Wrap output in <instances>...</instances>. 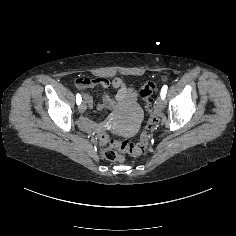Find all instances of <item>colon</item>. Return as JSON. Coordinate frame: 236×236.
Segmentation results:
<instances>
[{"label": "colon", "instance_id": "colon-1", "mask_svg": "<svg viewBox=\"0 0 236 236\" xmlns=\"http://www.w3.org/2000/svg\"><path fill=\"white\" fill-rule=\"evenodd\" d=\"M165 80V77H163ZM109 83L106 79L84 78L80 77L75 80V84L80 88L90 87L93 84ZM158 83L155 81L147 82L140 90V96L145 102L146 110L149 113V120L145 126L144 131L141 133L137 143H130L128 141H113L109 139L105 132L99 134V139L104 147V156L110 161H122L123 156L121 153H126L131 156H139L145 152L150 141V131L157 124L158 117L153 110V94L157 90Z\"/></svg>", "mask_w": 236, "mask_h": 236}]
</instances>
